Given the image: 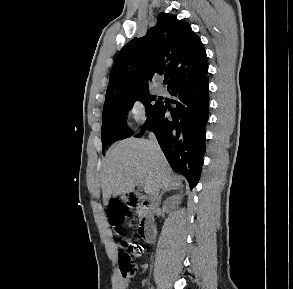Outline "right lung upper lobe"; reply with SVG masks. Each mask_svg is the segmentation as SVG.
Here are the masks:
<instances>
[{
  "label": "right lung upper lobe",
  "instance_id": "right-lung-upper-lobe-1",
  "mask_svg": "<svg viewBox=\"0 0 293 289\" xmlns=\"http://www.w3.org/2000/svg\"><path fill=\"white\" fill-rule=\"evenodd\" d=\"M208 62L200 38L176 15L160 13L143 38H134L119 52L110 72L105 103L149 92L153 76L169 78L168 91L207 76Z\"/></svg>",
  "mask_w": 293,
  "mask_h": 289
}]
</instances>
